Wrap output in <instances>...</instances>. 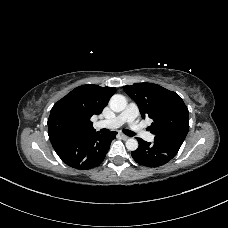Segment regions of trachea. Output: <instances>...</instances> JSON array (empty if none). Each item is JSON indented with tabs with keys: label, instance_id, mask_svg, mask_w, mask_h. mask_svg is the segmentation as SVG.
Here are the masks:
<instances>
[{
	"label": "trachea",
	"instance_id": "trachea-1",
	"mask_svg": "<svg viewBox=\"0 0 228 228\" xmlns=\"http://www.w3.org/2000/svg\"><path fill=\"white\" fill-rule=\"evenodd\" d=\"M123 133L126 134L127 136H130V137H132V136L135 135L134 132H132V131H130V130H127V129L123 130Z\"/></svg>",
	"mask_w": 228,
	"mask_h": 228
}]
</instances>
